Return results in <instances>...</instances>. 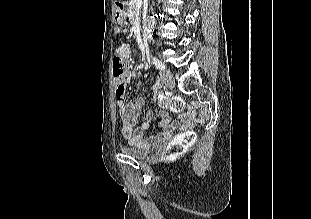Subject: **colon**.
<instances>
[{"label":"colon","mask_w":311,"mask_h":219,"mask_svg":"<svg viewBox=\"0 0 311 219\" xmlns=\"http://www.w3.org/2000/svg\"><path fill=\"white\" fill-rule=\"evenodd\" d=\"M113 76L116 82L115 96L118 103H122L126 95V83L124 76L126 73V61L123 57L116 56L112 62ZM163 106L168 107L173 112L183 109V102L179 98H163L160 100ZM163 114L168 115L166 112ZM197 134L194 130H188L182 135L172 140L165 149L166 158H175L182 155L192 144L195 143Z\"/></svg>","instance_id":"obj_1"}]
</instances>
